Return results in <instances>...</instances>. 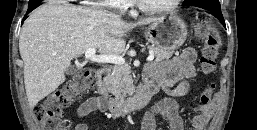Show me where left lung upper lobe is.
I'll use <instances>...</instances> for the list:
<instances>
[{
  "label": "left lung upper lobe",
  "instance_id": "left-lung-upper-lobe-1",
  "mask_svg": "<svg viewBox=\"0 0 257 130\" xmlns=\"http://www.w3.org/2000/svg\"><path fill=\"white\" fill-rule=\"evenodd\" d=\"M184 5L220 6L219 0H185Z\"/></svg>",
  "mask_w": 257,
  "mask_h": 130
}]
</instances>
